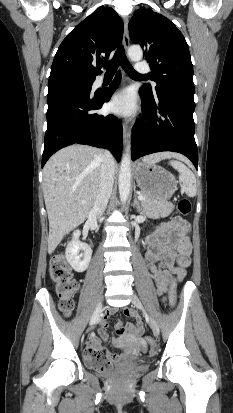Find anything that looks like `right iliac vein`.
Instances as JSON below:
<instances>
[{
	"label": "right iliac vein",
	"mask_w": 233,
	"mask_h": 413,
	"mask_svg": "<svg viewBox=\"0 0 233 413\" xmlns=\"http://www.w3.org/2000/svg\"><path fill=\"white\" fill-rule=\"evenodd\" d=\"M101 308H102V304L99 303L98 306L96 307V309L94 310L92 316H91V321L94 322L98 319L100 313H101Z\"/></svg>",
	"instance_id": "obj_1"
}]
</instances>
